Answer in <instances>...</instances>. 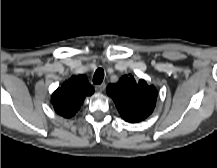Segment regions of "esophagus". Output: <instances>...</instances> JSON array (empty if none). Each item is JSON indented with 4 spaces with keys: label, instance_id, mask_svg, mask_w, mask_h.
Masks as SVG:
<instances>
[{
    "label": "esophagus",
    "instance_id": "1",
    "mask_svg": "<svg viewBox=\"0 0 217 168\" xmlns=\"http://www.w3.org/2000/svg\"><path fill=\"white\" fill-rule=\"evenodd\" d=\"M105 88H106L105 83H102V84H100V85H96V86H95V90H96L98 93L103 92V91L105 90Z\"/></svg>",
    "mask_w": 217,
    "mask_h": 168
}]
</instances>
